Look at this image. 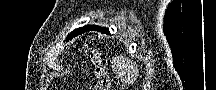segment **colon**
<instances>
[{
  "instance_id": "obj_1",
  "label": "colon",
  "mask_w": 216,
  "mask_h": 90,
  "mask_svg": "<svg viewBox=\"0 0 216 90\" xmlns=\"http://www.w3.org/2000/svg\"><path fill=\"white\" fill-rule=\"evenodd\" d=\"M95 79L91 90H110V79L98 53L92 54Z\"/></svg>"
}]
</instances>
